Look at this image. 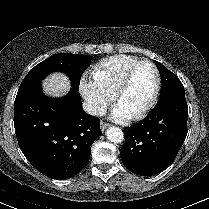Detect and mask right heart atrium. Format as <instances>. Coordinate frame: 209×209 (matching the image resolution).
Segmentation results:
<instances>
[{"label":"right heart atrium","mask_w":209,"mask_h":209,"mask_svg":"<svg viewBox=\"0 0 209 209\" xmlns=\"http://www.w3.org/2000/svg\"><path fill=\"white\" fill-rule=\"evenodd\" d=\"M80 91L90 111L95 115H101L114 99V93L108 91L95 79L87 77L81 79Z\"/></svg>","instance_id":"1"}]
</instances>
